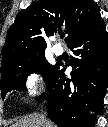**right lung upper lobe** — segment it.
<instances>
[{
  "label": "right lung upper lobe",
  "mask_w": 108,
  "mask_h": 127,
  "mask_svg": "<svg viewBox=\"0 0 108 127\" xmlns=\"http://www.w3.org/2000/svg\"><path fill=\"white\" fill-rule=\"evenodd\" d=\"M101 18L94 0H38L20 11L7 33L2 64L44 53L47 37L65 29L68 44Z\"/></svg>",
  "instance_id": "obj_1"
}]
</instances>
